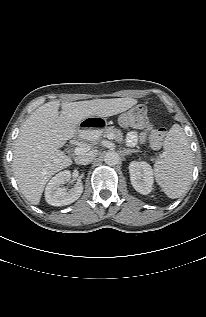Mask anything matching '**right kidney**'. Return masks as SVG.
Listing matches in <instances>:
<instances>
[{"instance_id":"ca27d5eb","label":"right kidney","mask_w":206,"mask_h":317,"mask_svg":"<svg viewBox=\"0 0 206 317\" xmlns=\"http://www.w3.org/2000/svg\"><path fill=\"white\" fill-rule=\"evenodd\" d=\"M71 178V172L64 170L56 174L47 184L45 188V200L53 206H64L75 202L83 192L81 183L75 184L73 188L67 191L61 187L62 184L68 182Z\"/></svg>"}]
</instances>
